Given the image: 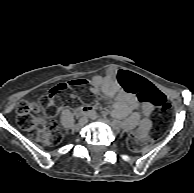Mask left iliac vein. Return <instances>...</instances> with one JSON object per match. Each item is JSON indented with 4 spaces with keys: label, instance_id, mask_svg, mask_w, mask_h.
<instances>
[{
    "label": "left iliac vein",
    "instance_id": "4c4485c4",
    "mask_svg": "<svg viewBox=\"0 0 194 193\" xmlns=\"http://www.w3.org/2000/svg\"><path fill=\"white\" fill-rule=\"evenodd\" d=\"M102 121L108 124L114 131H119L121 124L118 123L116 120L111 121L107 119H102Z\"/></svg>",
    "mask_w": 194,
    "mask_h": 193
}]
</instances>
